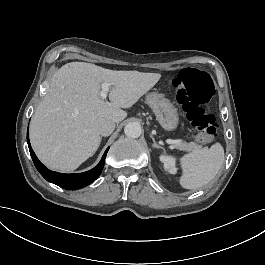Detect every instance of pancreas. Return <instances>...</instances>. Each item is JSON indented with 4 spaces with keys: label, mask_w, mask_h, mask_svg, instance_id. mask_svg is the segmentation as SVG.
Here are the masks:
<instances>
[{
    "label": "pancreas",
    "mask_w": 265,
    "mask_h": 265,
    "mask_svg": "<svg viewBox=\"0 0 265 265\" xmlns=\"http://www.w3.org/2000/svg\"><path fill=\"white\" fill-rule=\"evenodd\" d=\"M175 147L177 149H180V150H184V151H192V150H195V149H201L202 148V144H199V143H196V142H181L180 144H176Z\"/></svg>",
    "instance_id": "cf45deb5"
}]
</instances>
